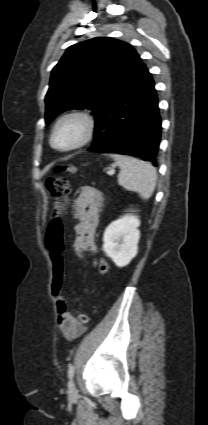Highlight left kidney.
Returning a JSON list of instances; mask_svg holds the SVG:
<instances>
[{
  "instance_id": "1",
  "label": "left kidney",
  "mask_w": 208,
  "mask_h": 425,
  "mask_svg": "<svg viewBox=\"0 0 208 425\" xmlns=\"http://www.w3.org/2000/svg\"><path fill=\"white\" fill-rule=\"evenodd\" d=\"M140 220L127 214L108 225L103 236V250L116 266L122 268L137 255Z\"/></svg>"
}]
</instances>
